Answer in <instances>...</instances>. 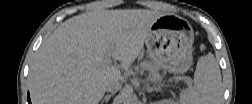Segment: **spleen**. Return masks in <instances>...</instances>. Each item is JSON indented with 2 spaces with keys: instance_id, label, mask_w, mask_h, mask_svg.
Here are the masks:
<instances>
[{
  "instance_id": "spleen-1",
  "label": "spleen",
  "mask_w": 252,
  "mask_h": 104,
  "mask_svg": "<svg viewBox=\"0 0 252 104\" xmlns=\"http://www.w3.org/2000/svg\"><path fill=\"white\" fill-rule=\"evenodd\" d=\"M205 47L202 45L201 49ZM223 96L222 77L219 65L212 53L199 58L194 74V85L183 90V104H219Z\"/></svg>"
}]
</instances>
